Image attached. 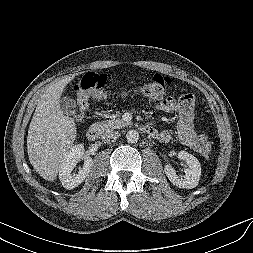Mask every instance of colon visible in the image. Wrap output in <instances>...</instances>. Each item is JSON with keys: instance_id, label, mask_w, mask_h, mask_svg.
<instances>
[{"instance_id": "5ec220e1", "label": "colon", "mask_w": 253, "mask_h": 253, "mask_svg": "<svg viewBox=\"0 0 253 253\" xmlns=\"http://www.w3.org/2000/svg\"><path fill=\"white\" fill-rule=\"evenodd\" d=\"M105 83V77L96 73H89L85 75L77 83L75 86V100L77 106L76 117L78 120H82L85 117L90 99L107 101L112 98L113 95L104 90ZM169 84V78L160 74H155L148 82L138 85L130 90L122 91L119 96L122 98L138 97L156 101L166 95ZM180 98L190 101L194 100L193 95L189 93L181 95ZM211 152L212 148L210 143L204 140L201 147L202 155L209 157Z\"/></svg>"}]
</instances>
